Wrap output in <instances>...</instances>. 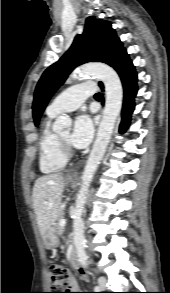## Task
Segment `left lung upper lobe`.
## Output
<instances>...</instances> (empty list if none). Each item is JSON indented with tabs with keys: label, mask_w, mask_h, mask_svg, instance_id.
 I'll return each mask as SVG.
<instances>
[{
	"label": "left lung upper lobe",
	"mask_w": 170,
	"mask_h": 293,
	"mask_svg": "<svg viewBox=\"0 0 170 293\" xmlns=\"http://www.w3.org/2000/svg\"><path fill=\"white\" fill-rule=\"evenodd\" d=\"M124 51L110 22L88 17L83 33L75 37L72 46L59 61L45 70L36 86L33 102L35 125H38L50 97L76 66L91 61L112 66Z\"/></svg>",
	"instance_id": "1"
}]
</instances>
